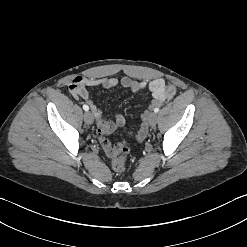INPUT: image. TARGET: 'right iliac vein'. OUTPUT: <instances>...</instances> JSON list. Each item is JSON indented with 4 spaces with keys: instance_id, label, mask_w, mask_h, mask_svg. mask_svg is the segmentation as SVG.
Returning <instances> with one entry per match:
<instances>
[{
    "instance_id": "obj_1",
    "label": "right iliac vein",
    "mask_w": 247,
    "mask_h": 247,
    "mask_svg": "<svg viewBox=\"0 0 247 247\" xmlns=\"http://www.w3.org/2000/svg\"><path fill=\"white\" fill-rule=\"evenodd\" d=\"M84 121L86 124H89L91 125L94 121V117H93V114L92 112L90 111H87L85 114H84Z\"/></svg>"
}]
</instances>
